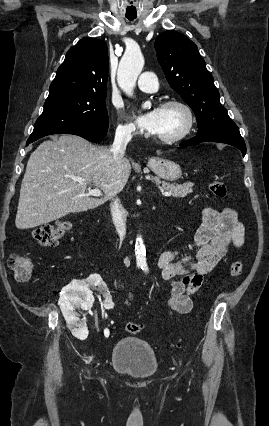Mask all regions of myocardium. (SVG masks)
Returning a JSON list of instances; mask_svg holds the SVG:
<instances>
[{
    "mask_svg": "<svg viewBox=\"0 0 269 426\" xmlns=\"http://www.w3.org/2000/svg\"><path fill=\"white\" fill-rule=\"evenodd\" d=\"M161 107H178L185 113L186 116V123L183 129L176 135L168 136V137H162V136H155L152 134V137L157 140L158 142L164 143V144H174L181 140H183L193 129L194 126V113L191 109V107L186 104L183 101L171 99L163 102L161 104Z\"/></svg>",
    "mask_w": 269,
    "mask_h": 426,
    "instance_id": "obj_1",
    "label": "myocardium"
}]
</instances>
